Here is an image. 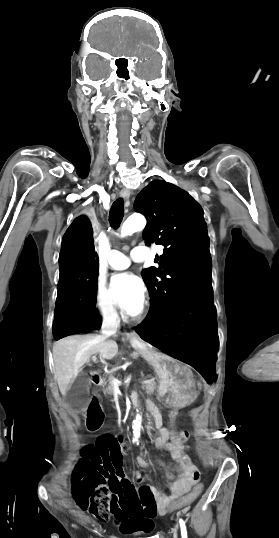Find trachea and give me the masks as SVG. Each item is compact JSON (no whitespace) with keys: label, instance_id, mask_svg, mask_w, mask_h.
I'll return each instance as SVG.
<instances>
[{"label":"trachea","instance_id":"3493384b","mask_svg":"<svg viewBox=\"0 0 279 538\" xmlns=\"http://www.w3.org/2000/svg\"><path fill=\"white\" fill-rule=\"evenodd\" d=\"M124 217V203L121 198H118L113 204L109 212V223L112 228L117 230Z\"/></svg>","mask_w":279,"mask_h":538}]
</instances>
